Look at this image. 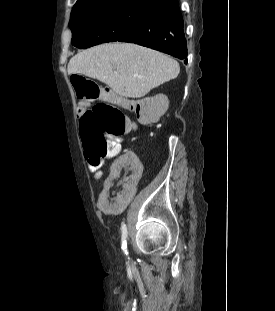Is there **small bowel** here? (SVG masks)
<instances>
[{
    "label": "small bowel",
    "mask_w": 275,
    "mask_h": 311,
    "mask_svg": "<svg viewBox=\"0 0 275 311\" xmlns=\"http://www.w3.org/2000/svg\"><path fill=\"white\" fill-rule=\"evenodd\" d=\"M89 104L90 102L78 103L77 113L79 116L87 109ZM121 104L124 106V103ZM120 154L118 160H112L108 179L106 183L102 184L99 193L102 200H99L96 212L103 213V216H120V213L124 212V207L135 195L138 180L141 179L143 162L137 160V150H121ZM103 166L104 162L102 160L87 158V168L93 174L94 180L98 181L102 178ZM121 171H125V173ZM119 180L128 181H125L117 192L115 185L119 184Z\"/></svg>",
    "instance_id": "obj_1"
}]
</instances>
